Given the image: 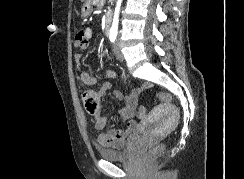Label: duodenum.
<instances>
[{
	"label": "duodenum",
	"instance_id": "duodenum-1",
	"mask_svg": "<svg viewBox=\"0 0 244 179\" xmlns=\"http://www.w3.org/2000/svg\"><path fill=\"white\" fill-rule=\"evenodd\" d=\"M110 25H111L110 15H109V13H107V14H105L104 23H103V29H104L105 34L109 33Z\"/></svg>",
	"mask_w": 244,
	"mask_h": 179
}]
</instances>
